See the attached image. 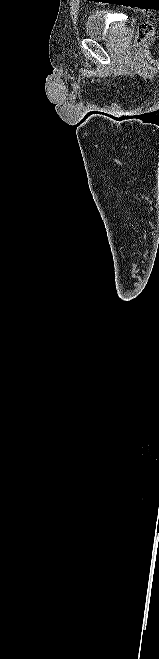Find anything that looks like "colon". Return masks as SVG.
I'll list each match as a JSON object with an SVG mask.
<instances>
[{
	"instance_id": "colon-1",
	"label": "colon",
	"mask_w": 159,
	"mask_h": 659,
	"mask_svg": "<svg viewBox=\"0 0 159 659\" xmlns=\"http://www.w3.org/2000/svg\"><path fill=\"white\" fill-rule=\"evenodd\" d=\"M154 33L155 30L152 24H150L149 22L141 23L137 31L136 43L137 44L143 43L146 39L152 37Z\"/></svg>"
}]
</instances>
